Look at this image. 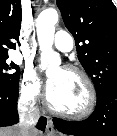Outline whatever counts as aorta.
<instances>
[{
  "instance_id": "1",
  "label": "aorta",
  "mask_w": 117,
  "mask_h": 136,
  "mask_svg": "<svg viewBox=\"0 0 117 136\" xmlns=\"http://www.w3.org/2000/svg\"><path fill=\"white\" fill-rule=\"evenodd\" d=\"M58 13L55 9H47L40 13L36 21L38 43L41 50V68L52 70L61 64V59L52 49L55 24Z\"/></svg>"
}]
</instances>
